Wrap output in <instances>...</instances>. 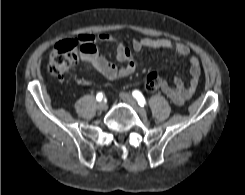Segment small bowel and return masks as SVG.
Wrapping results in <instances>:
<instances>
[{
	"label": "small bowel",
	"mask_w": 245,
	"mask_h": 195,
	"mask_svg": "<svg viewBox=\"0 0 245 195\" xmlns=\"http://www.w3.org/2000/svg\"><path fill=\"white\" fill-rule=\"evenodd\" d=\"M113 42L115 46V59L120 65L107 61L97 50L96 42ZM78 42L82 46L80 58L88 64L90 70H94L106 77L114 80L133 74L138 62L133 57V52H139L144 48L172 50L177 56L185 57L190 53L189 47L181 42L172 43L168 39L141 38L133 40L131 47H126L113 36L101 33L97 36L92 34H82L78 37ZM89 48L86 50L85 48ZM190 80L187 86L184 85L180 77L174 78V86L164 83L162 91L176 104L183 105L195 93L201 75V65L197 57L191 56L189 59Z\"/></svg>",
	"instance_id": "obj_1"
}]
</instances>
